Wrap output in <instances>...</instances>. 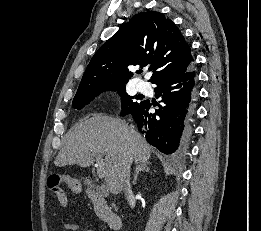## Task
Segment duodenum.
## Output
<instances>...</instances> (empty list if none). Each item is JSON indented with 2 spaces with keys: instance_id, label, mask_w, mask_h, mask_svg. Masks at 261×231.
I'll list each match as a JSON object with an SVG mask.
<instances>
[{
  "instance_id": "410a0bca",
  "label": "duodenum",
  "mask_w": 261,
  "mask_h": 231,
  "mask_svg": "<svg viewBox=\"0 0 261 231\" xmlns=\"http://www.w3.org/2000/svg\"><path fill=\"white\" fill-rule=\"evenodd\" d=\"M84 192L93 202L98 215L108 223L109 227L112 230H119L121 228V219L111 211L104 196L91 189H84Z\"/></svg>"
}]
</instances>
